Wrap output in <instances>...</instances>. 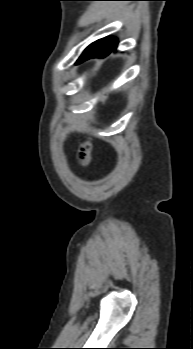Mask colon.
I'll use <instances>...</instances> for the list:
<instances>
[{"label":"colon","instance_id":"1","mask_svg":"<svg viewBox=\"0 0 193 349\" xmlns=\"http://www.w3.org/2000/svg\"><path fill=\"white\" fill-rule=\"evenodd\" d=\"M93 150V142L91 138H86L79 147L77 152V162L80 166L86 167L91 162V154Z\"/></svg>","mask_w":193,"mask_h":349}]
</instances>
